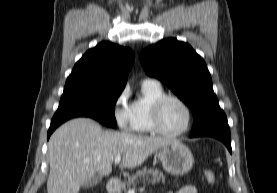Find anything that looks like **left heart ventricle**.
<instances>
[{
  "label": "left heart ventricle",
  "instance_id": "b2bd125f",
  "mask_svg": "<svg viewBox=\"0 0 277 193\" xmlns=\"http://www.w3.org/2000/svg\"><path fill=\"white\" fill-rule=\"evenodd\" d=\"M161 121L165 130L176 132L186 125L187 113L179 102L167 100L161 110Z\"/></svg>",
  "mask_w": 277,
  "mask_h": 193
}]
</instances>
